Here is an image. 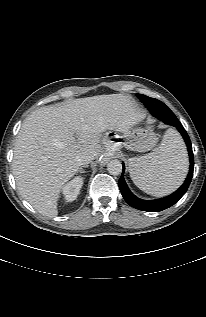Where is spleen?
Segmentation results:
<instances>
[{"label": "spleen", "instance_id": "1", "mask_svg": "<svg viewBox=\"0 0 206 317\" xmlns=\"http://www.w3.org/2000/svg\"><path fill=\"white\" fill-rule=\"evenodd\" d=\"M188 157L184 142L169 129L158 148L141 157L129 160L130 177L147 194L164 196L175 191L184 181Z\"/></svg>", "mask_w": 206, "mask_h": 317}]
</instances>
